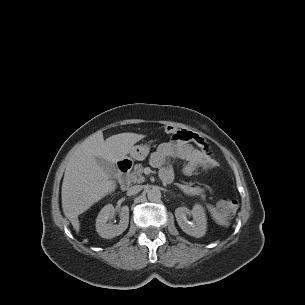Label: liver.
<instances>
[{
	"mask_svg": "<svg viewBox=\"0 0 305 305\" xmlns=\"http://www.w3.org/2000/svg\"><path fill=\"white\" fill-rule=\"evenodd\" d=\"M145 135L120 133L104 140L98 131L90 135L73 153L62 183V208L76 232L78 216L116 189V182L96 162V157L113 164L126 158L135 143Z\"/></svg>",
	"mask_w": 305,
	"mask_h": 305,
	"instance_id": "obj_1",
	"label": "liver"
}]
</instances>
